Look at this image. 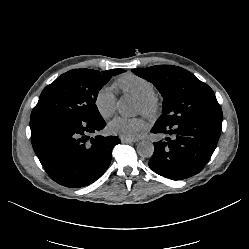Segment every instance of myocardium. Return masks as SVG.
Wrapping results in <instances>:
<instances>
[{"label": "myocardium", "instance_id": "1", "mask_svg": "<svg viewBox=\"0 0 249 249\" xmlns=\"http://www.w3.org/2000/svg\"><path fill=\"white\" fill-rule=\"evenodd\" d=\"M139 104L142 113L149 119L156 120L159 117L162 110V104L155 95L139 99Z\"/></svg>", "mask_w": 249, "mask_h": 249}]
</instances>
